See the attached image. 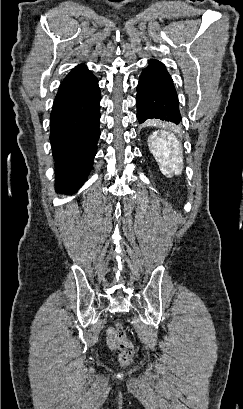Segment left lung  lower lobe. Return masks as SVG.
Instances as JSON below:
<instances>
[{"mask_svg":"<svg viewBox=\"0 0 243 409\" xmlns=\"http://www.w3.org/2000/svg\"><path fill=\"white\" fill-rule=\"evenodd\" d=\"M137 86V119H160L179 124V102L171 76L163 63L150 60Z\"/></svg>","mask_w":243,"mask_h":409,"instance_id":"0a47b994","label":"left lung lower lobe"}]
</instances>
